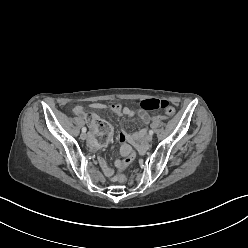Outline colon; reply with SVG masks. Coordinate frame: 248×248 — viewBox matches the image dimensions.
Here are the masks:
<instances>
[{"mask_svg":"<svg viewBox=\"0 0 248 248\" xmlns=\"http://www.w3.org/2000/svg\"><path fill=\"white\" fill-rule=\"evenodd\" d=\"M140 107L144 111L162 110L165 114L149 115L147 120L149 122H163L174 114L173 106L166 100L161 99H147L140 103ZM89 128L93 131L95 138V146L98 149H104L110 139L112 133V126L105 123L103 119L92 116L89 119ZM135 158V151L131 148L128 149L126 158L118 166L119 171L114 180L119 183H125L127 178L123 173L124 170L133 162Z\"/></svg>","mask_w":248,"mask_h":248,"instance_id":"5ec220e1","label":"colon"}]
</instances>
